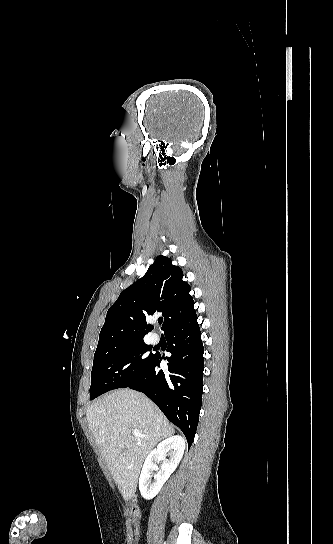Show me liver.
I'll list each match as a JSON object with an SVG mask.
<instances>
[{
    "label": "liver",
    "mask_w": 333,
    "mask_h": 544,
    "mask_svg": "<svg viewBox=\"0 0 333 544\" xmlns=\"http://www.w3.org/2000/svg\"><path fill=\"white\" fill-rule=\"evenodd\" d=\"M86 417L115 483L124 499L130 500L145 457L158 442L174 434L173 426L146 396L126 388L98 399ZM134 429L146 437H135L131 434Z\"/></svg>",
    "instance_id": "liver-1"
}]
</instances>
